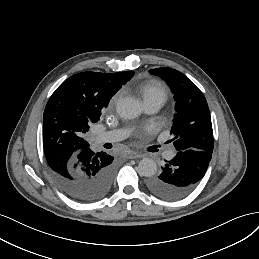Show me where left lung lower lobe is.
<instances>
[{
	"label": "left lung lower lobe",
	"mask_w": 259,
	"mask_h": 259,
	"mask_svg": "<svg viewBox=\"0 0 259 259\" xmlns=\"http://www.w3.org/2000/svg\"><path fill=\"white\" fill-rule=\"evenodd\" d=\"M212 158V153L187 149L162 167L159 176L147 181L150 192L165 200H179L188 196L203 178Z\"/></svg>",
	"instance_id": "0a47b994"
}]
</instances>
